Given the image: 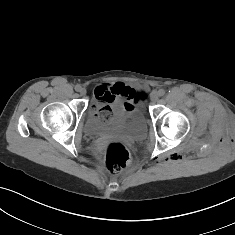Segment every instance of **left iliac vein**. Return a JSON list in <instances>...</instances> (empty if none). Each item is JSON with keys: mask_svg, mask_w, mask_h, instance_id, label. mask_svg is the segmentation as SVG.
<instances>
[{"mask_svg": "<svg viewBox=\"0 0 235 235\" xmlns=\"http://www.w3.org/2000/svg\"><path fill=\"white\" fill-rule=\"evenodd\" d=\"M158 98H159L158 92L153 91V92L151 93V95H150L151 101H152L153 103H155V102H157Z\"/></svg>", "mask_w": 235, "mask_h": 235, "instance_id": "left-iliac-vein-1", "label": "left iliac vein"}]
</instances>
